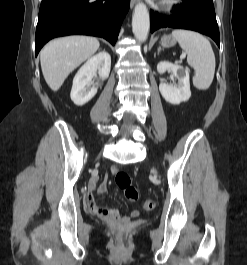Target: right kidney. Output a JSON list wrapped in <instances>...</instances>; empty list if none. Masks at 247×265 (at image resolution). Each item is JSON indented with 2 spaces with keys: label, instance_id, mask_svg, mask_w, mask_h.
<instances>
[{
  "label": "right kidney",
  "instance_id": "1",
  "mask_svg": "<svg viewBox=\"0 0 247 265\" xmlns=\"http://www.w3.org/2000/svg\"><path fill=\"white\" fill-rule=\"evenodd\" d=\"M111 68V57L106 51L100 52L90 59L79 69L73 79L71 89V100L77 106H83L90 101L97 93V87L89 88L92 78L97 71L102 79L109 76Z\"/></svg>",
  "mask_w": 247,
  "mask_h": 265
}]
</instances>
